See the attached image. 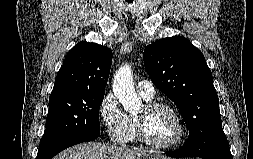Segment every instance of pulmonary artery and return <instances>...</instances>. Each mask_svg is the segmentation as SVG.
Masks as SVG:
<instances>
[{
    "mask_svg": "<svg viewBox=\"0 0 253 159\" xmlns=\"http://www.w3.org/2000/svg\"><path fill=\"white\" fill-rule=\"evenodd\" d=\"M136 90L140 96L146 100H152L155 96L153 84L147 80H141L136 85Z\"/></svg>",
    "mask_w": 253,
    "mask_h": 159,
    "instance_id": "1",
    "label": "pulmonary artery"
}]
</instances>
